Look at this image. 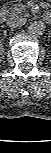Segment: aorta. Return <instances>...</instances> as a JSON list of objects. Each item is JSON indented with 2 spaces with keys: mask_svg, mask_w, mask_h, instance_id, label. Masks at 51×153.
I'll use <instances>...</instances> for the list:
<instances>
[{
  "mask_svg": "<svg viewBox=\"0 0 51 153\" xmlns=\"http://www.w3.org/2000/svg\"><path fill=\"white\" fill-rule=\"evenodd\" d=\"M31 37H40L45 32V24L42 21H34L31 23L27 30Z\"/></svg>",
  "mask_w": 51,
  "mask_h": 153,
  "instance_id": "aorta-1",
  "label": "aorta"
}]
</instances>
